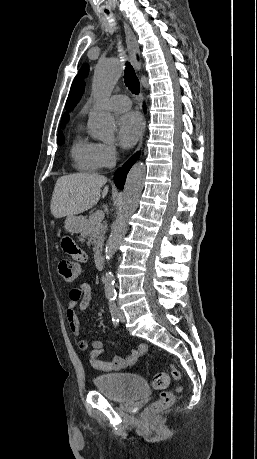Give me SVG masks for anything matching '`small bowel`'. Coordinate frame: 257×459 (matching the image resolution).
I'll use <instances>...</instances> for the list:
<instances>
[{
    "label": "small bowel",
    "mask_w": 257,
    "mask_h": 459,
    "mask_svg": "<svg viewBox=\"0 0 257 459\" xmlns=\"http://www.w3.org/2000/svg\"><path fill=\"white\" fill-rule=\"evenodd\" d=\"M59 248L63 249L69 264H88L87 250L83 246H78V239H69L68 236H63L62 239H59ZM68 299L66 317L73 334L80 336L83 327L77 315L76 307L79 311L88 309L91 302L90 285L81 283L71 288L68 293ZM78 347L81 351L92 349L88 361L93 368L101 372H112L126 368L134 364L147 350L146 345L141 344L138 348L132 349L125 357H116L113 360L105 361L101 359L105 353L101 340L83 338L79 340Z\"/></svg>",
    "instance_id": "1"
}]
</instances>
